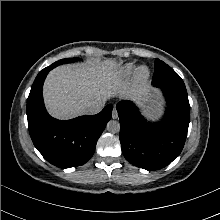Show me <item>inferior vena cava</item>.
<instances>
[{"mask_svg":"<svg viewBox=\"0 0 220 220\" xmlns=\"http://www.w3.org/2000/svg\"><path fill=\"white\" fill-rule=\"evenodd\" d=\"M104 106L105 101L102 100L91 102L85 107L84 112L88 115L97 114L104 108Z\"/></svg>","mask_w":220,"mask_h":220,"instance_id":"obj_1","label":"inferior vena cava"}]
</instances>
